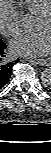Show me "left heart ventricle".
Masks as SVG:
<instances>
[{"instance_id": "obj_1", "label": "left heart ventricle", "mask_w": 51, "mask_h": 153, "mask_svg": "<svg viewBox=\"0 0 51 153\" xmlns=\"http://www.w3.org/2000/svg\"><path fill=\"white\" fill-rule=\"evenodd\" d=\"M35 28L38 30L45 29L51 32V18L37 15L35 19Z\"/></svg>"}]
</instances>
